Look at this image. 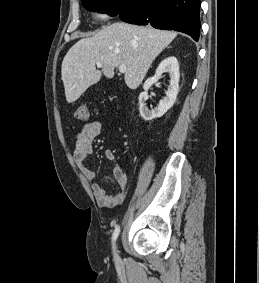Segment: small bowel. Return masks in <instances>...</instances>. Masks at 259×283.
<instances>
[{
	"label": "small bowel",
	"instance_id": "1",
	"mask_svg": "<svg viewBox=\"0 0 259 283\" xmlns=\"http://www.w3.org/2000/svg\"><path fill=\"white\" fill-rule=\"evenodd\" d=\"M101 130V122L92 121L78 130L74 136L75 149L73 151V158L81 173L88 180H95L97 177L96 172L85 165V160L93 153V141L100 135ZM104 155L108 160L115 163L110 178L117 182L119 191L114 195H109L104 187L98 183L92 184V191L100 206L115 207L122 204L127 197L130 186V176L123 171L113 150H104Z\"/></svg>",
	"mask_w": 259,
	"mask_h": 283
}]
</instances>
